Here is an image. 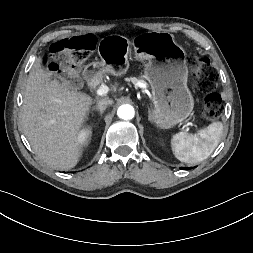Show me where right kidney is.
I'll return each instance as SVG.
<instances>
[{
    "label": "right kidney",
    "instance_id": "ca27d5eb",
    "mask_svg": "<svg viewBox=\"0 0 253 253\" xmlns=\"http://www.w3.org/2000/svg\"><path fill=\"white\" fill-rule=\"evenodd\" d=\"M91 133L90 129L86 128L83 129L80 133V137H83L85 139V141L87 140V138L89 137V134Z\"/></svg>",
    "mask_w": 253,
    "mask_h": 253
}]
</instances>
